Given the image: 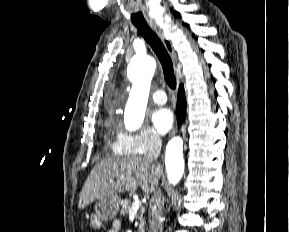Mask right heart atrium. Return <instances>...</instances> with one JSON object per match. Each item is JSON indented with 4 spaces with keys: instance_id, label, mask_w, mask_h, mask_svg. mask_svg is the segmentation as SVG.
Masks as SVG:
<instances>
[{
    "instance_id": "right-heart-atrium-1",
    "label": "right heart atrium",
    "mask_w": 289,
    "mask_h": 232,
    "mask_svg": "<svg viewBox=\"0 0 289 232\" xmlns=\"http://www.w3.org/2000/svg\"><path fill=\"white\" fill-rule=\"evenodd\" d=\"M161 146L160 136L151 128L130 132L118 127L113 142V151L119 155H145L157 151Z\"/></svg>"
}]
</instances>
